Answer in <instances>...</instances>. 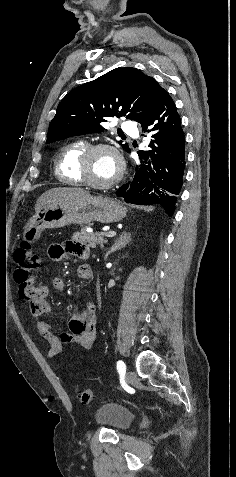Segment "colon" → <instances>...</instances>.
Listing matches in <instances>:
<instances>
[{"label": "colon", "mask_w": 236, "mask_h": 477, "mask_svg": "<svg viewBox=\"0 0 236 477\" xmlns=\"http://www.w3.org/2000/svg\"><path fill=\"white\" fill-rule=\"evenodd\" d=\"M14 278L21 291H31L34 288L35 274L40 268V257L35 253L29 243L21 244L14 253ZM94 397V392L89 387H84L78 393L82 403H89Z\"/></svg>", "instance_id": "1"}]
</instances>
